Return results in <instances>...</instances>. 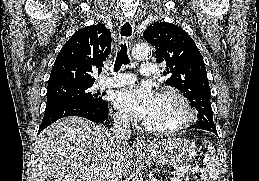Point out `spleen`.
Returning <instances> with one entry per match:
<instances>
[{"label":"spleen","mask_w":259,"mask_h":181,"mask_svg":"<svg viewBox=\"0 0 259 181\" xmlns=\"http://www.w3.org/2000/svg\"><path fill=\"white\" fill-rule=\"evenodd\" d=\"M203 163L205 169L203 170L201 181H219V160L214 146L208 145Z\"/></svg>","instance_id":"obj_1"}]
</instances>
